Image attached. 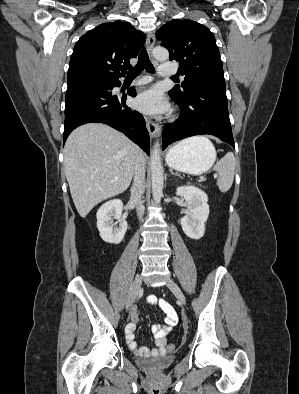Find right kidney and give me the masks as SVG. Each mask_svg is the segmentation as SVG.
<instances>
[{
  "mask_svg": "<svg viewBox=\"0 0 299 394\" xmlns=\"http://www.w3.org/2000/svg\"><path fill=\"white\" fill-rule=\"evenodd\" d=\"M123 203L120 199H113L104 203L97 211V228L103 241L110 244H119L126 233L127 222L121 219ZM119 223L113 227V219Z\"/></svg>",
  "mask_w": 299,
  "mask_h": 394,
  "instance_id": "right-kidney-1",
  "label": "right kidney"
}]
</instances>
